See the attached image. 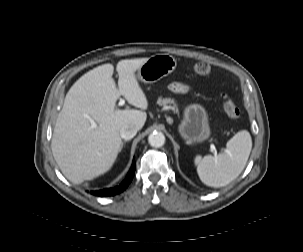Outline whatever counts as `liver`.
<instances>
[{"label":"liver","mask_w":303,"mask_h":252,"mask_svg":"<svg viewBox=\"0 0 303 252\" xmlns=\"http://www.w3.org/2000/svg\"><path fill=\"white\" fill-rule=\"evenodd\" d=\"M148 58L120 60L116 66L118 87L112 64L98 66L81 76L66 94L58 114L51 142L55 161L64 176L75 184L92 180L107 172L121 147L120 129H142L147 114L146 96L135 72ZM124 96L142 110L116 109ZM91 121L97 123L92 128Z\"/></svg>","instance_id":"6515ba94"}]
</instances>
